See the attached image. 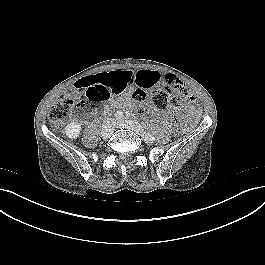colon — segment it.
I'll list each match as a JSON object with an SVG mask.
<instances>
[{"label":"colon","instance_id":"colon-1","mask_svg":"<svg viewBox=\"0 0 265 265\" xmlns=\"http://www.w3.org/2000/svg\"><path fill=\"white\" fill-rule=\"evenodd\" d=\"M112 94L110 78L107 76H87L78 80L73 89L50 110L49 118L54 123L67 120L75 108L86 110L90 105L105 101ZM133 99L137 103V112L144 109L143 104L147 100L146 89L139 88L133 93ZM151 102L157 109L167 106L178 108L181 103L192 113L201 109L202 103L196 94L186 92L180 79L166 76L164 88L157 89L151 94Z\"/></svg>","mask_w":265,"mask_h":265}]
</instances>
